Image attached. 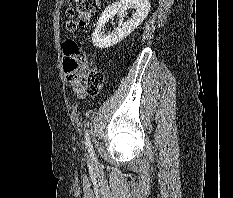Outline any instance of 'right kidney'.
Wrapping results in <instances>:
<instances>
[{
  "label": "right kidney",
  "mask_w": 233,
  "mask_h": 198,
  "mask_svg": "<svg viewBox=\"0 0 233 198\" xmlns=\"http://www.w3.org/2000/svg\"><path fill=\"white\" fill-rule=\"evenodd\" d=\"M135 8L133 17L126 22L122 20L118 23V28L110 35H103L102 29L106 22L116 14L123 15L129 8ZM150 3L148 0H120L109 5L101 14L96 28L92 34V42L99 49L111 47L134 31L147 17L150 11Z\"/></svg>",
  "instance_id": "obj_1"
}]
</instances>
